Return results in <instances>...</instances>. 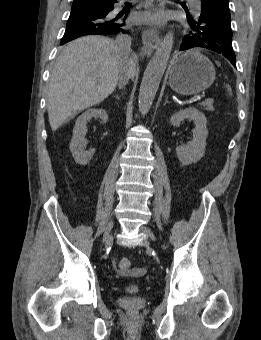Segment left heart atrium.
<instances>
[{
  "label": "left heart atrium",
  "instance_id": "1",
  "mask_svg": "<svg viewBox=\"0 0 261 340\" xmlns=\"http://www.w3.org/2000/svg\"><path fill=\"white\" fill-rule=\"evenodd\" d=\"M143 20L147 23L159 25L164 21V15L161 12L152 13V14L148 13L143 16Z\"/></svg>",
  "mask_w": 261,
  "mask_h": 340
}]
</instances>
